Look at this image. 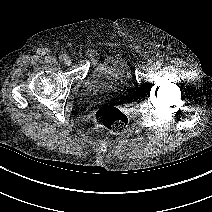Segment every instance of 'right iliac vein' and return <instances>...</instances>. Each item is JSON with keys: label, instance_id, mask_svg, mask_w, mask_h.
I'll use <instances>...</instances> for the list:
<instances>
[{"label": "right iliac vein", "instance_id": "obj_1", "mask_svg": "<svg viewBox=\"0 0 212 212\" xmlns=\"http://www.w3.org/2000/svg\"><path fill=\"white\" fill-rule=\"evenodd\" d=\"M64 64L69 66L71 64V59L69 57H66L64 60Z\"/></svg>", "mask_w": 212, "mask_h": 212}]
</instances>
